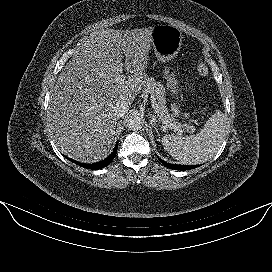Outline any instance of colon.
<instances>
[{
    "instance_id": "obj_1",
    "label": "colon",
    "mask_w": 272,
    "mask_h": 272,
    "mask_svg": "<svg viewBox=\"0 0 272 272\" xmlns=\"http://www.w3.org/2000/svg\"><path fill=\"white\" fill-rule=\"evenodd\" d=\"M197 69H198V72L203 76H206L208 74V68L203 62H200L198 64ZM186 104H187L186 99H179L172 103L170 110H171L172 116L175 119L189 120V119H192L195 115L202 114L207 110V109H203L198 112H187L185 110Z\"/></svg>"
}]
</instances>
